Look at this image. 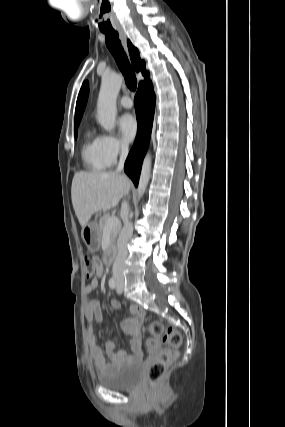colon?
Here are the masks:
<instances>
[{
	"label": "colon",
	"mask_w": 285,
	"mask_h": 427,
	"mask_svg": "<svg viewBox=\"0 0 285 427\" xmlns=\"http://www.w3.org/2000/svg\"><path fill=\"white\" fill-rule=\"evenodd\" d=\"M96 268L97 265L94 260L89 257L84 258L87 279L93 278ZM148 333L146 348L149 353L155 355V359L148 370L147 379L149 384L153 385L162 378L168 365L176 356L182 344V336L177 329L166 326L161 321H152L148 326ZM160 343L163 344L162 348H159Z\"/></svg>",
	"instance_id": "5ec220e1"
}]
</instances>
